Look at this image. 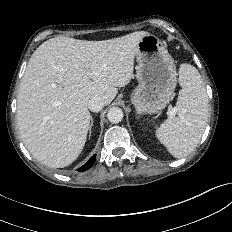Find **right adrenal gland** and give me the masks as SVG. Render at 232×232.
<instances>
[{
	"label": "right adrenal gland",
	"instance_id": "right-adrenal-gland-1",
	"mask_svg": "<svg viewBox=\"0 0 232 232\" xmlns=\"http://www.w3.org/2000/svg\"><path fill=\"white\" fill-rule=\"evenodd\" d=\"M90 120H91V124H90V127H89V130H90V132H89V137L91 136L92 127H93V118H92V116L90 117Z\"/></svg>",
	"mask_w": 232,
	"mask_h": 232
}]
</instances>
